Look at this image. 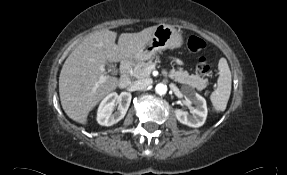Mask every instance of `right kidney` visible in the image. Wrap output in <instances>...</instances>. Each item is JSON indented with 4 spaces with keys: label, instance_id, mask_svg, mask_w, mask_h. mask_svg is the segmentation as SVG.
I'll return each instance as SVG.
<instances>
[{
    "label": "right kidney",
    "instance_id": "1",
    "mask_svg": "<svg viewBox=\"0 0 287 175\" xmlns=\"http://www.w3.org/2000/svg\"><path fill=\"white\" fill-rule=\"evenodd\" d=\"M132 95L128 92H122L118 95L116 92L107 95L99 105L97 112V122L103 126H111L124 118L129 108ZM119 104L117 111L115 106Z\"/></svg>",
    "mask_w": 287,
    "mask_h": 175
}]
</instances>
